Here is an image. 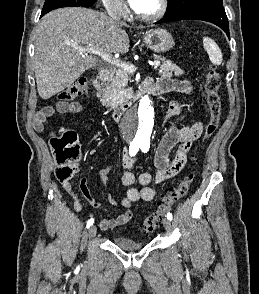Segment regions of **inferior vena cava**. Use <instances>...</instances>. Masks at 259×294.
Segmentation results:
<instances>
[{"mask_svg":"<svg viewBox=\"0 0 259 294\" xmlns=\"http://www.w3.org/2000/svg\"><path fill=\"white\" fill-rule=\"evenodd\" d=\"M109 16L118 25H124V22L121 21V9L119 4L116 3L109 8Z\"/></svg>","mask_w":259,"mask_h":294,"instance_id":"1","label":"inferior vena cava"}]
</instances>
